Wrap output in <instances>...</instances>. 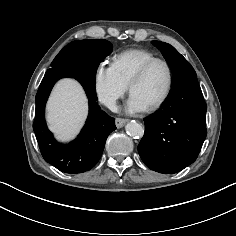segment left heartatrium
<instances>
[{"label": "left heart atrium", "mask_w": 236, "mask_h": 236, "mask_svg": "<svg viewBox=\"0 0 236 236\" xmlns=\"http://www.w3.org/2000/svg\"><path fill=\"white\" fill-rule=\"evenodd\" d=\"M127 111L130 113H138L147 109V105L137 96L131 94L127 102Z\"/></svg>", "instance_id": "39dd6f15"}]
</instances>
